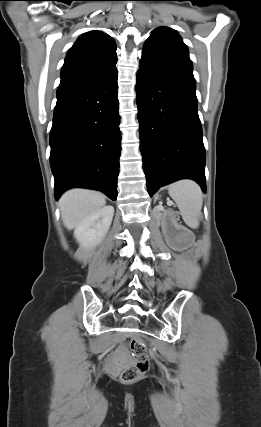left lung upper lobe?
<instances>
[{
  "mask_svg": "<svg viewBox=\"0 0 261 427\" xmlns=\"http://www.w3.org/2000/svg\"><path fill=\"white\" fill-rule=\"evenodd\" d=\"M142 53L192 69L187 46L177 31L169 27L155 29L145 41Z\"/></svg>",
  "mask_w": 261,
  "mask_h": 427,
  "instance_id": "1",
  "label": "left lung upper lobe"
}]
</instances>
